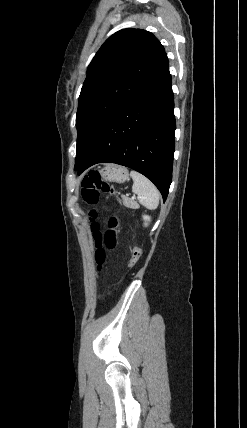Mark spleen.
Returning a JSON list of instances; mask_svg holds the SVG:
<instances>
[{
    "label": "spleen",
    "mask_w": 247,
    "mask_h": 428,
    "mask_svg": "<svg viewBox=\"0 0 247 428\" xmlns=\"http://www.w3.org/2000/svg\"><path fill=\"white\" fill-rule=\"evenodd\" d=\"M133 179L132 191L137 194L139 202L150 210H154L159 205V191L155 185L142 174L131 171Z\"/></svg>",
    "instance_id": "3e777b00"
}]
</instances>
